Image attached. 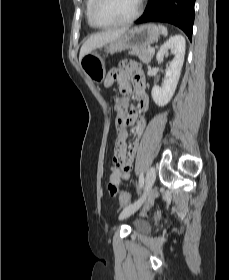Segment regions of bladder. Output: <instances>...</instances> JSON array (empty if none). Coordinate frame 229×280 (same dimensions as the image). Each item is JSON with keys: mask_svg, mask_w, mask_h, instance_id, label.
<instances>
[{"mask_svg": "<svg viewBox=\"0 0 229 280\" xmlns=\"http://www.w3.org/2000/svg\"><path fill=\"white\" fill-rule=\"evenodd\" d=\"M134 231L138 233H148L151 231L149 223L143 219H135L131 222Z\"/></svg>", "mask_w": 229, "mask_h": 280, "instance_id": "1", "label": "bladder"}]
</instances>
